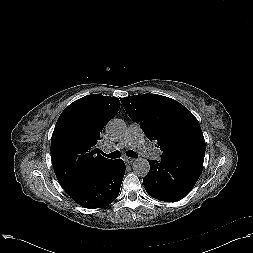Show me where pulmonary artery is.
<instances>
[{
	"label": "pulmonary artery",
	"instance_id": "pulmonary-artery-1",
	"mask_svg": "<svg viewBox=\"0 0 253 253\" xmlns=\"http://www.w3.org/2000/svg\"><path fill=\"white\" fill-rule=\"evenodd\" d=\"M127 147L137 148L147 157L157 160L160 158V152L158 150H155L148 144L144 143L143 133L135 124H131L128 127L125 137L119 144L115 145L114 147L105 148V152L121 150Z\"/></svg>",
	"mask_w": 253,
	"mask_h": 253
}]
</instances>
